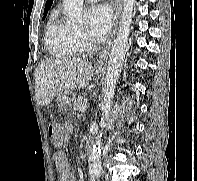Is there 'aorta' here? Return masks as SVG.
I'll return each mask as SVG.
<instances>
[{
  "mask_svg": "<svg viewBox=\"0 0 197 181\" xmlns=\"http://www.w3.org/2000/svg\"><path fill=\"white\" fill-rule=\"evenodd\" d=\"M66 15L72 23L81 24L83 22V0H62ZM123 12L120 26L114 45L112 47L103 90L104 100L102 105L101 125L105 126L109 120L115 87L122 70L123 61L128 48V38L130 34V25L132 23L133 11L136 0H123ZM101 145L102 132L96 137L93 144V150L90 158V168L94 176L98 179L102 174L101 164Z\"/></svg>",
  "mask_w": 197,
  "mask_h": 181,
  "instance_id": "aorta-1",
  "label": "aorta"
}]
</instances>
